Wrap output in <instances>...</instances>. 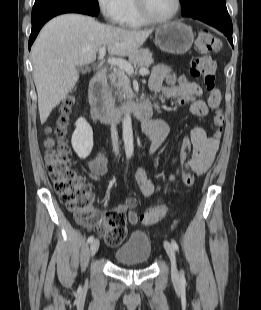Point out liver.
<instances>
[{"label": "liver", "instance_id": "6515ba94", "mask_svg": "<svg viewBox=\"0 0 261 310\" xmlns=\"http://www.w3.org/2000/svg\"><path fill=\"white\" fill-rule=\"evenodd\" d=\"M151 33V29L139 31L104 25L80 14H64L50 20L31 50L41 123L73 89L79 78L77 66L93 63L103 46H107L110 55H130Z\"/></svg>", "mask_w": 261, "mask_h": 310}]
</instances>
